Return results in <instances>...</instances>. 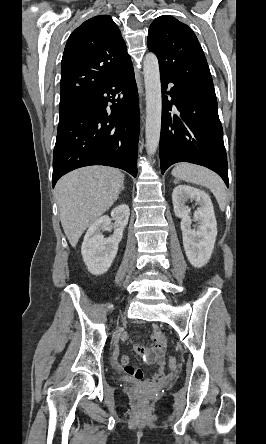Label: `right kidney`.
Masks as SVG:
<instances>
[{"label":"right kidney","mask_w":266,"mask_h":444,"mask_svg":"<svg viewBox=\"0 0 266 444\" xmlns=\"http://www.w3.org/2000/svg\"><path fill=\"white\" fill-rule=\"evenodd\" d=\"M130 210L122 204L114 208L111 216L117 222L113 235L104 238L101 231L110 227L111 219L105 215L98 218L87 230L81 247V253L87 269L94 275H101L110 268L118 251V245L123 237L124 227L128 224Z\"/></svg>","instance_id":"1"}]
</instances>
